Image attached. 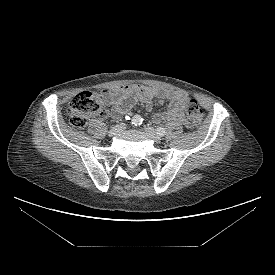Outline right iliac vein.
Instances as JSON below:
<instances>
[{
  "instance_id": "1",
  "label": "right iliac vein",
  "mask_w": 275,
  "mask_h": 275,
  "mask_svg": "<svg viewBox=\"0 0 275 275\" xmlns=\"http://www.w3.org/2000/svg\"><path fill=\"white\" fill-rule=\"evenodd\" d=\"M124 129H125V124H123V123L118 124L109 131L108 135L110 137H113V136L121 133Z\"/></svg>"
}]
</instances>
